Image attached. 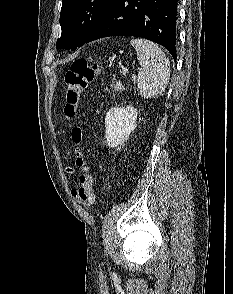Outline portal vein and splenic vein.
I'll return each instance as SVG.
<instances>
[{"label":"portal vein and splenic vein","instance_id":"portal-vein-and-splenic-vein-1","mask_svg":"<svg viewBox=\"0 0 233 294\" xmlns=\"http://www.w3.org/2000/svg\"><path fill=\"white\" fill-rule=\"evenodd\" d=\"M132 79L135 80L136 79V76L135 75H132Z\"/></svg>","mask_w":233,"mask_h":294}]
</instances>
